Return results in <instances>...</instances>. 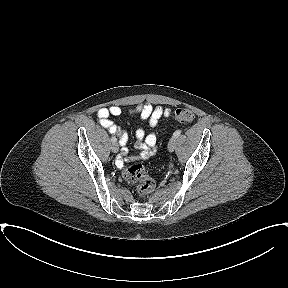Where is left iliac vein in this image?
<instances>
[{"instance_id": "left-iliac-vein-1", "label": "left iliac vein", "mask_w": 288, "mask_h": 288, "mask_svg": "<svg viewBox=\"0 0 288 288\" xmlns=\"http://www.w3.org/2000/svg\"><path fill=\"white\" fill-rule=\"evenodd\" d=\"M176 148V137H172L168 143V150L173 152Z\"/></svg>"}]
</instances>
